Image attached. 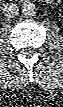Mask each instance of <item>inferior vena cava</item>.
Segmentation results:
<instances>
[{"instance_id": "602c4592", "label": "inferior vena cava", "mask_w": 63, "mask_h": 107, "mask_svg": "<svg viewBox=\"0 0 63 107\" xmlns=\"http://www.w3.org/2000/svg\"><path fill=\"white\" fill-rule=\"evenodd\" d=\"M2 10L6 18H13L18 14L19 7L13 3H7L3 6Z\"/></svg>"}]
</instances>
